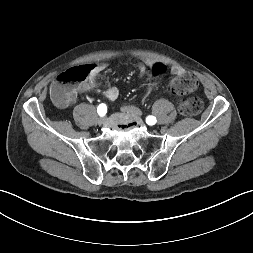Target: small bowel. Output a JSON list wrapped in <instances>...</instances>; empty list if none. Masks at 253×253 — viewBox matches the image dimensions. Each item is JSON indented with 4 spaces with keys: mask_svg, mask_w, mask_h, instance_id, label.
<instances>
[{
    "mask_svg": "<svg viewBox=\"0 0 253 253\" xmlns=\"http://www.w3.org/2000/svg\"><path fill=\"white\" fill-rule=\"evenodd\" d=\"M154 62H156V61H152V60L142 61L138 66L139 76L143 77L146 74L147 66L152 68L151 65ZM158 63H160V62H158ZM160 64L162 65V63H160ZM106 68H107V65L104 64V63L93 65L91 67V74H90L89 79L85 82H82V83L78 84L77 87H76L75 92L85 93V92H88L90 90L95 89V80H96L97 74L104 71ZM155 68H157V66ZM183 72H184V70L181 67L173 66L171 68V73L175 77L181 75ZM103 95L106 99H108L110 101H114L118 98L119 91L116 87H109V88H107L106 90L103 91Z\"/></svg>",
    "mask_w": 253,
    "mask_h": 253,
    "instance_id": "obj_1",
    "label": "small bowel"
}]
</instances>
